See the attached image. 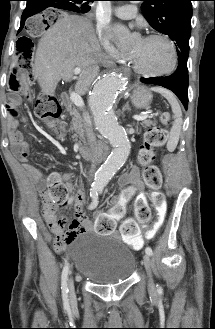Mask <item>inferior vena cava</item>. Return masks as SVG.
I'll return each mask as SVG.
<instances>
[{
  "label": "inferior vena cava",
  "mask_w": 215,
  "mask_h": 329,
  "mask_svg": "<svg viewBox=\"0 0 215 329\" xmlns=\"http://www.w3.org/2000/svg\"><path fill=\"white\" fill-rule=\"evenodd\" d=\"M84 129H85V134L88 140V144L90 145L93 155L96 156L97 155V149H96V137L95 134L93 132V130L91 129L89 123L86 121V114H84ZM94 172V166L91 167L90 169V176L93 175Z\"/></svg>",
  "instance_id": "inferior-vena-cava-1"
}]
</instances>
